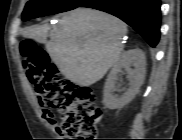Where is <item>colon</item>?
<instances>
[{
  "mask_svg": "<svg viewBox=\"0 0 182 140\" xmlns=\"http://www.w3.org/2000/svg\"><path fill=\"white\" fill-rule=\"evenodd\" d=\"M20 52L38 100L61 113L63 133L74 140H95L102 109L93 89L70 82L33 41L23 40Z\"/></svg>",
  "mask_w": 182,
  "mask_h": 140,
  "instance_id": "5ec220e1",
  "label": "colon"
}]
</instances>
